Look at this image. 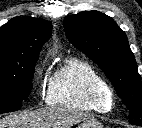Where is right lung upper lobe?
Returning <instances> with one entry per match:
<instances>
[{
  "label": "right lung upper lobe",
  "mask_w": 142,
  "mask_h": 128,
  "mask_svg": "<svg viewBox=\"0 0 142 128\" xmlns=\"http://www.w3.org/2000/svg\"><path fill=\"white\" fill-rule=\"evenodd\" d=\"M51 33V23L38 18L15 17L3 25L0 28V74H12L38 59Z\"/></svg>",
  "instance_id": "obj_1"
}]
</instances>
